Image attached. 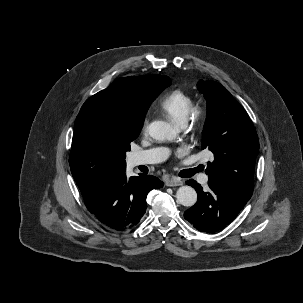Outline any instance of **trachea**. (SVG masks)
<instances>
[{
	"label": "trachea",
	"instance_id": "3493384b",
	"mask_svg": "<svg viewBox=\"0 0 303 303\" xmlns=\"http://www.w3.org/2000/svg\"><path fill=\"white\" fill-rule=\"evenodd\" d=\"M198 170H199V169H198V168H196V169H194V170H193V172H194V173H196V172H198Z\"/></svg>",
	"mask_w": 303,
	"mask_h": 303
}]
</instances>
